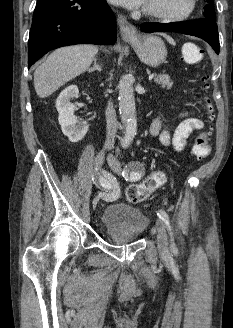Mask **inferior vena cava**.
Instances as JSON below:
<instances>
[{
    "mask_svg": "<svg viewBox=\"0 0 233 328\" xmlns=\"http://www.w3.org/2000/svg\"><path fill=\"white\" fill-rule=\"evenodd\" d=\"M106 131L107 137L105 141V149H112L115 143V135L118 128V122L116 118V112L111 103L108 104L106 109Z\"/></svg>",
    "mask_w": 233,
    "mask_h": 328,
    "instance_id": "inferior-vena-cava-1",
    "label": "inferior vena cava"
}]
</instances>
